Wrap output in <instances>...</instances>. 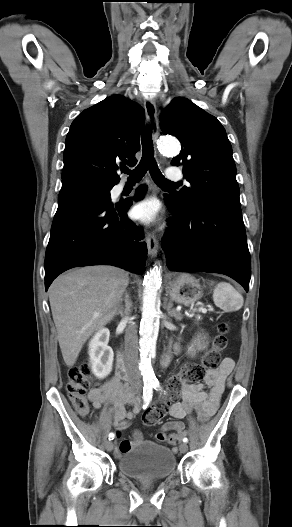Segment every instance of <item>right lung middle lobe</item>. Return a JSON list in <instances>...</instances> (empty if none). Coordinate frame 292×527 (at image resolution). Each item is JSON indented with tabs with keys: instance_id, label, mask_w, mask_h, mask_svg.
<instances>
[{
	"instance_id": "dd1d6c3e",
	"label": "right lung middle lobe",
	"mask_w": 292,
	"mask_h": 527,
	"mask_svg": "<svg viewBox=\"0 0 292 527\" xmlns=\"http://www.w3.org/2000/svg\"><path fill=\"white\" fill-rule=\"evenodd\" d=\"M114 185L102 184L87 178H76L62 182L60 193L85 192L97 195L110 201V190Z\"/></svg>"
}]
</instances>
